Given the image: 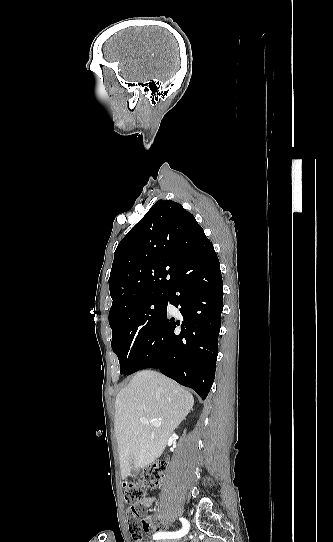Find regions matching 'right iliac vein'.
Returning a JSON list of instances; mask_svg holds the SVG:
<instances>
[{
  "label": "right iliac vein",
  "mask_w": 333,
  "mask_h": 542,
  "mask_svg": "<svg viewBox=\"0 0 333 542\" xmlns=\"http://www.w3.org/2000/svg\"><path fill=\"white\" fill-rule=\"evenodd\" d=\"M163 542H178L177 540L163 541Z\"/></svg>",
  "instance_id": "obj_1"
}]
</instances>
